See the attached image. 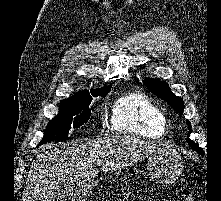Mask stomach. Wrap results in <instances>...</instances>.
Returning a JSON list of instances; mask_svg holds the SVG:
<instances>
[{"instance_id": "obj_1", "label": "stomach", "mask_w": 221, "mask_h": 201, "mask_svg": "<svg viewBox=\"0 0 221 201\" xmlns=\"http://www.w3.org/2000/svg\"><path fill=\"white\" fill-rule=\"evenodd\" d=\"M147 170L150 177L155 181L169 184L174 182L182 173L183 160L175 150L157 152L149 156ZM88 191L84 192L83 197L88 194Z\"/></svg>"}]
</instances>
